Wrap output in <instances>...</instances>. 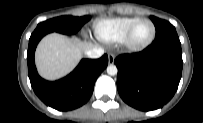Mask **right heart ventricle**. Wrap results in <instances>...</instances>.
Listing matches in <instances>:
<instances>
[{
    "instance_id": "obj_1",
    "label": "right heart ventricle",
    "mask_w": 203,
    "mask_h": 123,
    "mask_svg": "<svg viewBox=\"0 0 203 123\" xmlns=\"http://www.w3.org/2000/svg\"><path fill=\"white\" fill-rule=\"evenodd\" d=\"M139 19V17L101 19L95 23L94 32L101 42L118 43L122 41L129 27Z\"/></svg>"
}]
</instances>
